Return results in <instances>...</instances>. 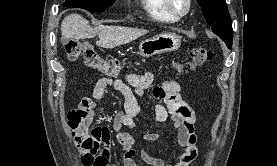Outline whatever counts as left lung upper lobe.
Returning <instances> with one entry per match:
<instances>
[{"label": "left lung upper lobe", "instance_id": "left-lung-upper-lobe-1", "mask_svg": "<svg viewBox=\"0 0 277 166\" xmlns=\"http://www.w3.org/2000/svg\"><path fill=\"white\" fill-rule=\"evenodd\" d=\"M213 32L232 47L233 29L225 0H197Z\"/></svg>", "mask_w": 277, "mask_h": 166}]
</instances>
